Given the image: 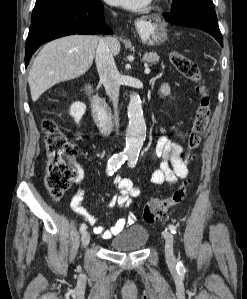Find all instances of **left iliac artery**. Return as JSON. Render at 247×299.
<instances>
[{"label":"left iliac artery","instance_id":"44dca946","mask_svg":"<svg viewBox=\"0 0 247 299\" xmlns=\"http://www.w3.org/2000/svg\"><path fill=\"white\" fill-rule=\"evenodd\" d=\"M136 162H137V157L134 156V155H130L129 158H128V166L132 168L136 165ZM168 228H169V230L171 231L172 234H176L177 229L174 225L170 224L168 226Z\"/></svg>","mask_w":247,"mask_h":299}]
</instances>
